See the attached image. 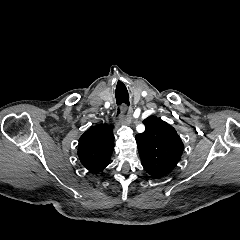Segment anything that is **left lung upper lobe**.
Here are the masks:
<instances>
[{
    "mask_svg": "<svg viewBox=\"0 0 240 240\" xmlns=\"http://www.w3.org/2000/svg\"><path fill=\"white\" fill-rule=\"evenodd\" d=\"M145 131L136 135L144 169L155 178L168 175L179 162L184 145L176 130L157 117L143 121Z\"/></svg>",
    "mask_w": 240,
    "mask_h": 240,
    "instance_id": "5c2ea615",
    "label": "left lung upper lobe"
}]
</instances>
